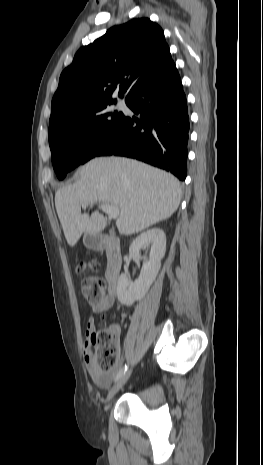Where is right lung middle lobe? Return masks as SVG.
Instances as JSON below:
<instances>
[{
    "label": "right lung middle lobe",
    "instance_id": "dd1d6c3e",
    "mask_svg": "<svg viewBox=\"0 0 263 465\" xmlns=\"http://www.w3.org/2000/svg\"><path fill=\"white\" fill-rule=\"evenodd\" d=\"M112 103L116 100L81 107L49 123L52 163L60 180L78 165L98 156L114 133L124 114L109 110Z\"/></svg>",
    "mask_w": 263,
    "mask_h": 465
}]
</instances>
